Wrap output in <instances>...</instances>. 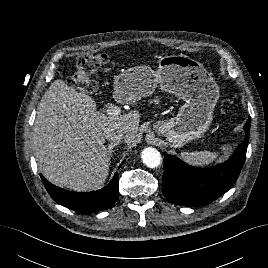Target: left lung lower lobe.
<instances>
[{"label": "left lung lower lobe", "mask_w": 268, "mask_h": 268, "mask_svg": "<svg viewBox=\"0 0 268 268\" xmlns=\"http://www.w3.org/2000/svg\"><path fill=\"white\" fill-rule=\"evenodd\" d=\"M249 117L246 136L231 158L209 168L189 166L177 157L164 156L162 192L171 202L183 206L207 205L226 193L237 180L246 158L250 133Z\"/></svg>", "instance_id": "obj_1"}]
</instances>
